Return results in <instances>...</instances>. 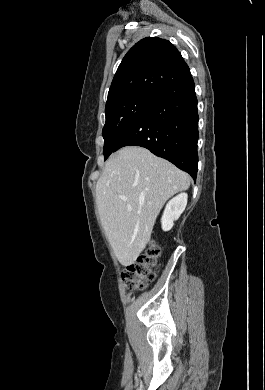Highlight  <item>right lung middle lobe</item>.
Masks as SVG:
<instances>
[{
  "label": "right lung middle lobe",
  "mask_w": 265,
  "mask_h": 390,
  "mask_svg": "<svg viewBox=\"0 0 265 390\" xmlns=\"http://www.w3.org/2000/svg\"><path fill=\"white\" fill-rule=\"evenodd\" d=\"M154 99V96L138 94L105 107L106 122L102 131L105 160L115 151L116 144L125 130Z\"/></svg>",
  "instance_id": "1"
}]
</instances>
